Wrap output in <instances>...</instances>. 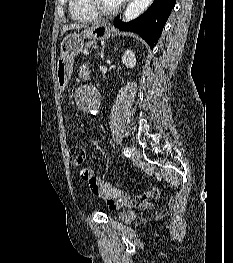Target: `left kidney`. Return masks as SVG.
Listing matches in <instances>:
<instances>
[{
  "instance_id": "obj_1",
  "label": "left kidney",
  "mask_w": 233,
  "mask_h": 263,
  "mask_svg": "<svg viewBox=\"0 0 233 263\" xmlns=\"http://www.w3.org/2000/svg\"><path fill=\"white\" fill-rule=\"evenodd\" d=\"M122 63L127 68H134L136 65V57L132 50L128 49L125 51V53L122 56Z\"/></svg>"
}]
</instances>
